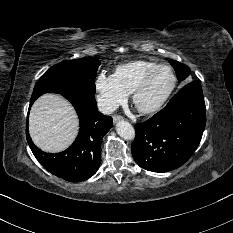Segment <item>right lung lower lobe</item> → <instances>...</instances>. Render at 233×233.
Masks as SVG:
<instances>
[{"mask_svg":"<svg viewBox=\"0 0 233 233\" xmlns=\"http://www.w3.org/2000/svg\"><path fill=\"white\" fill-rule=\"evenodd\" d=\"M74 106L79 119L80 131L74 143L64 152L48 154L32 142L28 127V144L43 167L52 174L70 182H81L93 176L101 163V142L113 126L110 116H103L97 110L94 96L84 94L63 95ZM36 99H31L30 107Z\"/></svg>","mask_w":233,"mask_h":233,"instance_id":"1","label":"right lung lower lobe"}]
</instances>
